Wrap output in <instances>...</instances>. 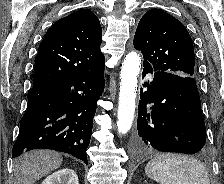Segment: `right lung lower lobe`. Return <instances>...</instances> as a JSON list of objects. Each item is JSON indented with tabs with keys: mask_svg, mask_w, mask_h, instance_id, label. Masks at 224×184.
Wrapping results in <instances>:
<instances>
[{
	"mask_svg": "<svg viewBox=\"0 0 224 184\" xmlns=\"http://www.w3.org/2000/svg\"><path fill=\"white\" fill-rule=\"evenodd\" d=\"M104 66L86 74L33 85L12 150L53 149L87 161L93 117L104 89Z\"/></svg>",
	"mask_w": 224,
	"mask_h": 184,
	"instance_id": "1",
	"label": "right lung lower lobe"
}]
</instances>
